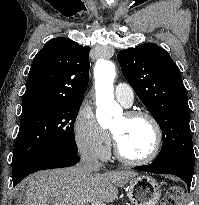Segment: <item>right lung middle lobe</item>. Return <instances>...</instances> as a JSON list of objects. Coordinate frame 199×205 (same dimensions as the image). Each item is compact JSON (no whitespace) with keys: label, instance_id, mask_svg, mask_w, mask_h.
I'll return each mask as SVG.
<instances>
[{"label":"right lung middle lobe","instance_id":"right-lung-middle-lobe-1","mask_svg":"<svg viewBox=\"0 0 199 205\" xmlns=\"http://www.w3.org/2000/svg\"><path fill=\"white\" fill-rule=\"evenodd\" d=\"M81 104H52L22 111L12 164L47 150L77 154L74 123Z\"/></svg>","mask_w":199,"mask_h":205}]
</instances>
